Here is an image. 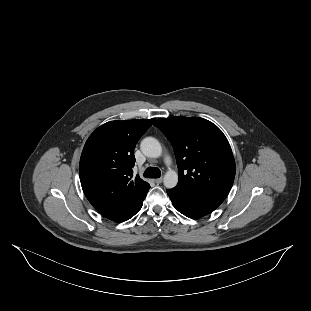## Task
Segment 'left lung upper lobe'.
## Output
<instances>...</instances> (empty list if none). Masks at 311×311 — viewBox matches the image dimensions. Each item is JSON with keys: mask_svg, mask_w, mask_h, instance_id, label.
Returning a JSON list of instances; mask_svg holds the SVG:
<instances>
[{"mask_svg": "<svg viewBox=\"0 0 311 311\" xmlns=\"http://www.w3.org/2000/svg\"><path fill=\"white\" fill-rule=\"evenodd\" d=\"M154 125L173 145L179 168L176 187L224 201L233 185L236 168L222 131L198 117L159 118Z\"/></svg>", "mask_w": 311, "mask_h": 311, "instance_id": "5c2ea615", "label": "left lung upper lobe"}]
</instances>
